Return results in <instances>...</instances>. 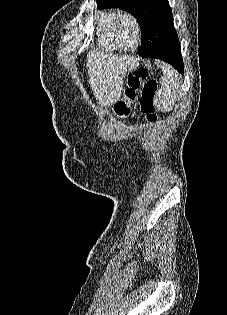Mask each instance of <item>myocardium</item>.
I'll use <instances>...</instances> for the list:
<instances>
[{
  "label": "myocardium",
  "instance_id": "f54148a6",
  "mask_svg": "<svg viewBox=\"0 0 227 315\" xmlns=\"http://www.w3.org/2000/svg\"><path fill=\"white\" fill-rule=\"evenodd\" d=\"M125 20L130 21L134 28H135V33H136V43L132 46V47H125L122 43L121 40L119 38V27L121 25V23ZM113 35H114V39L116 44L118 45V47L124 51H134L136 50L141 42H142V29H141V23L139 21V19L137 18L136 15H134L131 12H123L121 13L118 18L116 19L114 26H113Z\"/></svg>",
  "mask_w": 227,
  "mask_h": 315
}]
</instances>
